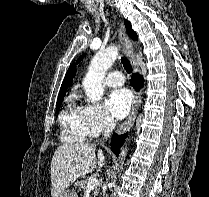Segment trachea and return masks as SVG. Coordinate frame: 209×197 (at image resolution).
Listing matches in <instances>:
<instances>
[{"instance_id":"3493384b","label":"trachea","mask_w":209,"mask_h":197,"mask_svg":"<svg viewBox=\"0 0 209 197\" xmlns=\"http://www.w3.org/2000/svg\"><path fill=\"white\" fill-rule=\"evenodd\" d=\"M121 61H122L123 67L126 70V72L128 74L132 73V66H131L130 62L124 57L121 58Z\"/></svg>"}]
</instances>
